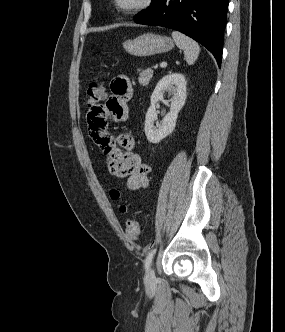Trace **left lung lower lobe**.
I'll return each mask as SVG.
<instances>
[{
    "instance_id": "left-lung-lower-lobe-1",
    "label": "left lung lower lobe",
    "mask_w": 285,
    "mask_h": 332,
    "mask_svg": "<svg viewBox=\"0 0 285 332\" xmlns=\"http://www.w3.org/2000/svg\"><path fill=\"white\" fill-rule=\"evenodd\" d=\"M228 0H161L136 23L180 31L206 47L221 65Z\"/></svg>"
}]
</instances>
